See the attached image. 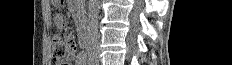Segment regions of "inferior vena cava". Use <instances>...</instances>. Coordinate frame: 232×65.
Wrapping results in <instances>:
<instances>
[{
  "mask_svg": "<svg viewBox=\"0 0 232 65\" xmlns=\"http://www.w3.org/2000/svg\"><path fill=\"white\" fill-rule=\"evenodd\" d=\"M98 13L99 0H88L86 52L89 61H98Z\"/></svg>",
  "mask_w": 232,
  "mask_h": 65,
  "instance_id": "obj_1",
  "label": "inferior vena cava"
}]
</instances>
